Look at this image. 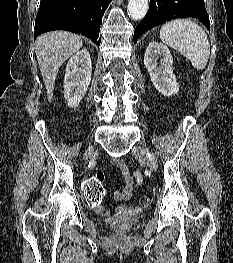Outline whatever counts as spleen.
<instances>
[{"mask_svg":"<svg viewBox=\"0 0 233 263\" xmlns=\"http://www.w3.org/2000/svg\"><path fill=\"white\" fill-rule=\"evenodd\" d=\"M163 43L180 52L197 70L206 67L210 45L204 29L191 19H176L160 30Z\"/></svg>","mask_w":233,"mask_h":263,"instance_id":"1","label":"spleen"}]
</instances>
